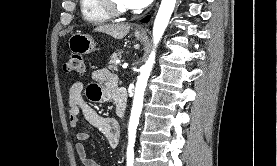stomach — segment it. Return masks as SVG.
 Listing matches in <instances>:
<instances>
[{"instance_id": "stomach-1", "label": "stomach", "mask_w": 277, "mask_h": 166, "mask_svg": "<svg viewBox=\"0 0 277 166\" xmlns=\"http://www.w3.org/2000/svg\"><path fill=\"white\" fill-rule=\"evenodd\" d=\"M134 34L138 40H142L144 38V35L139 32H135ZM68 44L70 51L79 55L92 53L96 46L93 38L90 35L83 34L81 32L73 34L70 37Z\"/></svg>"}]
</instances>
